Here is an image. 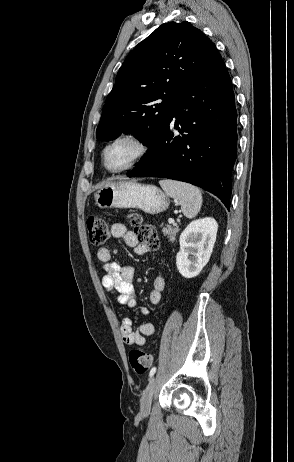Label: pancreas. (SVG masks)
<instances>
[{
  "instance_id": "1",
  "label": "pancreas",
  "mask_w": 294,
  "mask_h": 462,
  "mask_svg": "<svg viewBox=\"0 0 294 462\" xmlns=\"http://www.w3.org/2000/svg\"><path fill=\"white\" fill-rule=\"evenodd\" d=\"M179 231H180V228L178 226L171 227L167 225L166 227L162 229L163 234L167 236V238L171 242L175 241V236L179 233Z\"/></svg>"
}]
</instances>
